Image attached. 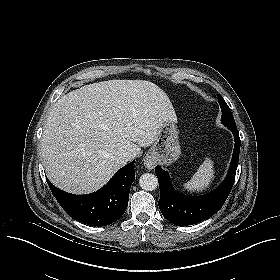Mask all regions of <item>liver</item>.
<instances>
[{"label":"liver","mask_w":280,"mask_h":280,"mask_svg":"<svg viewBox=\"0 0 280 280\" xmlns=\"http://www.w3.org/2000/svg\"><path fill=\"white\" fill-rule=\"evenodd\" d=\"M175 110L156 84L108 80L60 97L48 114L41 155L49 180L74 194L103 187L126 164L125 152L153 144Z\"/></svg>","instance_id":"obj_1"}]
</instances>
